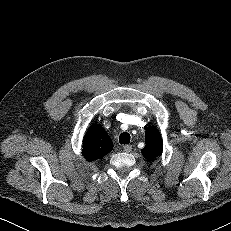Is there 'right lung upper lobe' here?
<instances>
[{"instance_id":"obj_1","label":"right lung upper lobe","mask_w":231,"mask_h":231,"mask_svg":"<svg viewBox=\"0 0 231 231\" xmlns=\"http://www.w3.org/2000/svg\"><path fill=\"white\" fill-rule=\"evenodd\" d=\"M113 149V142L107 132L99 124L87 130L83 139L82 154L89 162L98 160Z\"/></svg>"}]
</instances>
